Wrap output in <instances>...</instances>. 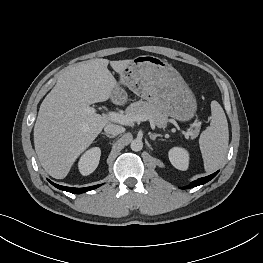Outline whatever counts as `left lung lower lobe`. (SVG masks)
I'll use <instances>...</instances> for the list:
<instances>
[{
  "mask_svg": "<svg viewBox=\"0 0 263 263\" xmlns=\"http://www.w3.org/2000/svg\"><path fill=\"white\" fill-rule=\"evenodd\" d=\"M218 173V171L212 175L203 177V178H199L196 181H193L189 186L182 188V189H189V188H193L202 184H205L206 182L210 181L212 178H214L216 176V174Z\"/></svg>",
  "mask_w": 263,
  "mask_h": 263,
  "instance_id": "left-lung-lower-lobe-1",
  "label": "left lung lower lobe"
}]
</instances>
